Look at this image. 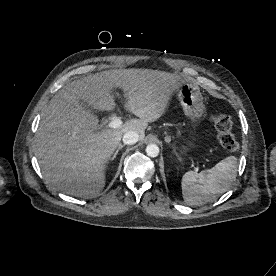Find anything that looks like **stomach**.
I'll use <instances>...</instances> for the list:
<instances>
[{"label": "stomach", "mask_w": 276, "mask_h": 276, "mask_svg": "<svg viewBox=\"0 0 276 276\" xmlns=\"http://www.w3.org/2000/svg\"><path fill=\"white\" fill-rule=\"evenodd\" d=\"M178 99L184 114L192 121L200 120L206 113L200 88L190 82H185L177 90Z\"/></svg>", "instance_id": "1"}]
</instances>
